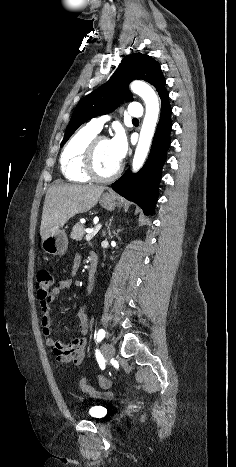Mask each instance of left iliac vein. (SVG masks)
Segmentation results:
<instances>
[{
    "mask_svg": "<svg viewBox=\"0 0 236 467\" xmlns=\"http://www.w3.org/2000/svg\"><path fill=\"white\" fill-rule=\"evenodd\" d=\"M103 353L106 358V360H111L115 356V348L112 344L110 343H104L103 344Z\"/></svg>",
    "mask_w": 236,
    "mask_h": 467,
    "instance_id": "1",
    "label": "left iliac vein"
}]
</instances>
